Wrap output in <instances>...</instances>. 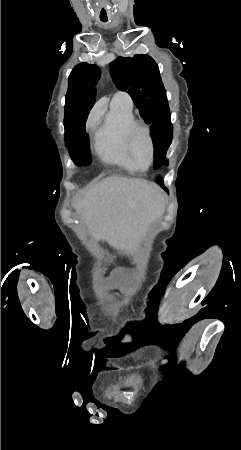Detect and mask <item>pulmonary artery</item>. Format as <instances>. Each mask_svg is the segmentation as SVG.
<instances>
[{"mask_svg": "<svg viewBox=\"0 0 241 450\" xmlns=\"http://www.w3.org/2000/svg\"><path fill=\"white\" fill-rule=\"evenodd\" d=\"M114 100H121V101H125V102H130V97L126 93H117V94H115V96L113 98V101Z\"/></svg>", "mask_w": 241, "mask_h": 450, "instance_id": "e3ab8cb5", "label": "pulmonary artery"}]
</instances>
